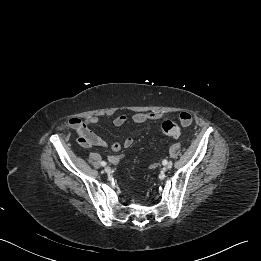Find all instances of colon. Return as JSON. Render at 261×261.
Here are the masks:
<instances>
[{
	"label": "colon",
	"mask_w": 261,
	"mask_h": 261,
	"mask_svg": "<svg viewBox=\"0 0 261 261\" xmlns=\"http://www.w3.org/2000/svg\"><path fill=\"white\" fill-rule=\"evenodd\" d=\"M185 121H188V120H185ZM161 132L164 135L173 137V138H178L182 133L180 125L171 120H166L162 123Z\"/></svg>",
	"instance_id": "obj_1"
}]
</instances>
